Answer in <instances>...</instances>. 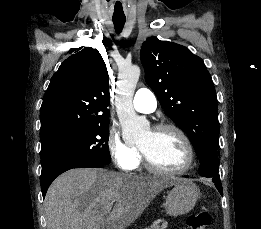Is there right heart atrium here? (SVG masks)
<instances>
[{"instance_id": "d8ad5b80", "label": "right heart atrium", "mask_w": 261, "mask_h": 229, "mask_svg": "<svg viewBox=\"0 0 261 229\" xmlns=\"http://www.w3.org/2000/svg\"><path fill=\"white\" fill-rule=\"evenodd\" d=\"M107 148L112 161L120 170L132 172L138 168L141 162L138 148L124 141L114 129L108 132Z\"/></svg>"}]
</instances>
